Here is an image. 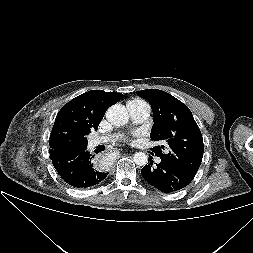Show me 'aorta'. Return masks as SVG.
<instances>
[{"label":"aorta","instance_id":"aorta-1","mask_svg":"<svg viewBox=\"0 0 253 253\" xmlns=\"http://www.w3.org/2000/svg\"><path fill=\"white\" fill-rule=\"evenodd\" d=\"M106 119L114 126H123L127 124L129 116L125 106L115 104L108 108ZM133 161L138 166H144L148 161V156L143 152H137L133 156Z\"/></svg>","mask_w":253,"mask_h":253}]
</instances>
